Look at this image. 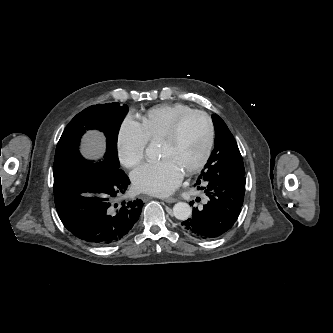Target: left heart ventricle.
<instances>
[{"mask_svg": "<svg viewBox=\"0 0 333 333\" xmlns=\"http://www.w3.org/2000/svg\"><path fill=\"white\" fill-rule=\"evenodd\" d=\"M207 139L206 121L200 116H192L184 122L174 142L161 141L160 157L172 159L183 171H186L202 157Z\"/></svg>", "mask_w": 333, "mask_h": 333, "instance_id": "b2bd125f", "label": "left heart ventricle"}]
</instances>
